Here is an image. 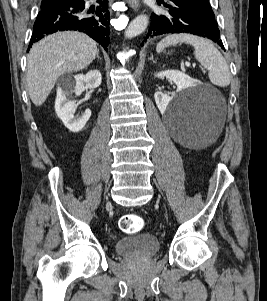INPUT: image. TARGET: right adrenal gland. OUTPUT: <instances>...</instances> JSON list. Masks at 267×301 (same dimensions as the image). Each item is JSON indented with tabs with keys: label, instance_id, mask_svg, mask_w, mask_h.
<instances>
[{
	"label": "right adrenal gland",
	"instance_id": "right-adrenal-gland-1",
	"mask_svg": "<svg viewBox=\"0 0 267 301\" xmlns=\"http://www.w3.org/2000/svg\"><path fill=\"white\" fill-rule=\"evenodd\" d=\"M96 58L99 59V60H102V58L99 56V51H97Z\"/></svg>",
	"mask_w": 267,
	"mask_h": 301
}]
</instances>
